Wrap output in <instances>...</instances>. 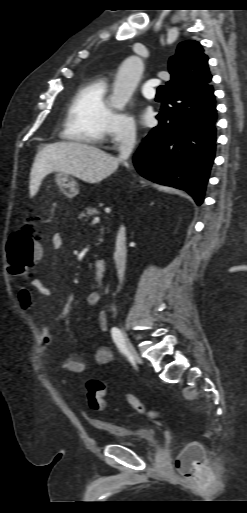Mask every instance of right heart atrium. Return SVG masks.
<instances>
[{
    "instance_id": "d8ad5b80",
    "label": "right heart atrium",
    "mask_w": 247,
    "mask_h": 513,
    "mask_svg": "<svg viewBox=\"0 0 247 513\" xmlns=\"http://www.w3.org/2000/svg\"><path fill=\"white\" fill-rule=\"evenodd\" d=\"M136 136V126L133 119L125 113H112L107 128L106 137L112 144L133 140Z\"/></svg>"
}]
</instances>
